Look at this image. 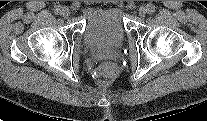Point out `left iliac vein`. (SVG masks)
<instances>
[{
  "label": "left iliac vein",
  "instance_id": "4c4485c4",
  "mask_svg": "<svg viewBox=\"0 0 207 121\" xmlns=\"http://www.w3.org/2000/svg\"><path fill=\"white\" fill-rule=\"evenodd\" d=\"M147 8L145 6H142L139 8L138 14L140 17H145V15L147 14Z\"/></svg>",
  "mask_w": 207,
  "mask_h": 121
}]
</instances>
